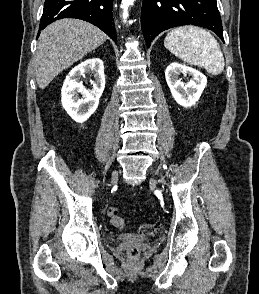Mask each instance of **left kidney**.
Listing matches in <instances>:
<instances>
[{
  "instance_id": "1",
  "label": "left kidney",
  "mask_w": 259,
  "mask_h": 294,
  "mask_svg": "<svg viewBox=\"0 0 259 294\" xmlns=\"http://www.w3.org/2000/svg\"><path fill=\"white\" fill-rule=\"evenodd\" d=\"M190 75L192 79L183 83L180 74ZM166 82L175 101L183 107H191L199 100L207 85L205 75L191 67L179 63H171L165 71Z\"/></svg>"
}]
</instances>
